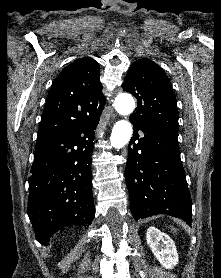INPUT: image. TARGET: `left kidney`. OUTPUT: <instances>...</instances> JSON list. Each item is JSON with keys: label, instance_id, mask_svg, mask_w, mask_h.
I'll list each match as a JSON object with an SVG mask.
<instances>
[{"label": "left kidney", "instance_id": "1", "mask_svg": "<svg viewBox=\"0 0 221 278\" xmlns=\"http://www.w3.org/2000/svg\"><path fill=\"white\" fill-rule=\"evenodd\" d=\"M146 240L152 253L166 269H172L179 261L178 253L173 240L156 227H149Z\"/></svg>", "mask_w": 221, "mask_h": 278}]
</instances>
